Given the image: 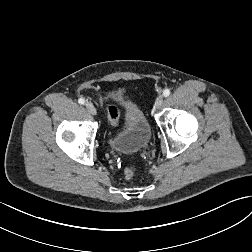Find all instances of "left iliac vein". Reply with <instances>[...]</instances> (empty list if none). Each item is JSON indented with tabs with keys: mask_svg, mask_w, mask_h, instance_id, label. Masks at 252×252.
Returning a JSON list of instances; mask_svg holds the SVG:
<instances>
[{
	"mask_svg": "<svg viewBox=\"0 0 252 252\" xmlns=\"http://www.w3.org/2000/svg\"><path fill=\"white\" fill-rule=\"evenodd\" d=\"M163 104V96H158L155 100V103H154V108L155 109H159Z\"/></svg>",
	"mask_w": 252,
	"mask_h": 252,
	"instance_id": "1",
	"label": "left iliac vein"
}]
</instances>
